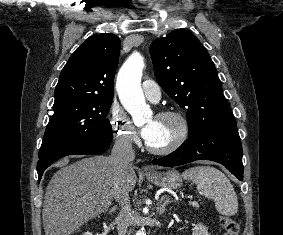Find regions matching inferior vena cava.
I'll use <instances>...</instances> for the list:
<instances>
[{
  "label": "inferior vena cava",
  "mask_w": 283,
  "mask_h": 235,
  "mask_svg": "<svg viewBox=\"0 0 283 235\" xmlns=\"http://www.w3.org/2000/svg\"><path fill=\"white\" fill-rule=\"evenodd\" d=\"M134 158L135 152L131 141L125 136L117 138L111 151L110 161L115 171L114 198L121 206L116 219L118 235H126L131 223L132 214L126 178L133 168L131 163Z\"/></svg>",
  "instance_id": "inferior-vena-cava-1"
}]
</instances>
